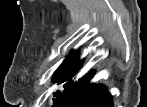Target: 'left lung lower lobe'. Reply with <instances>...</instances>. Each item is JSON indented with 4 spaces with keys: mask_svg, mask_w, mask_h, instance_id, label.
I'll use <instances>...</instances> for the list:
<instances>
[{
    "mask_svg": "<svg viewBox=\"0 0 147 107\" xmlns=\"http://www.w3.org/2000/svg\"><path fill=\"white\" fill-rule=\"evenodd\" d=\"M95 70L77 81L70 80L55 101V107H114L113 97L103 84L91 83Z\"/></svg>",
    "mask_w": 147,
    "mask_h": 107,
    "instance_id": "left-lung-lower-lobe-1",
    "label": "left lung lower lobe"
}]
</instances>
